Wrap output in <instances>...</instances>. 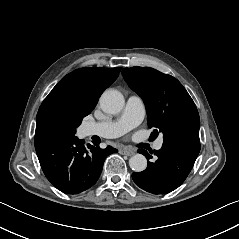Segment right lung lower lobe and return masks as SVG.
<instances>
[{
  "instance_id": "right-lung-lower-lobe-1",
  "label": "right lung lower lobe",
  "mask_w": 239,
  "mask_h": 239,
  "mask_svg": "<svg viewBox=\"0 0 239 239\" xmlns=\"http://www.w3.org/2000/svg\"><path fill=\"white\" fill-rule=\"evenodd\" d=\"M84 146V141L63 129L45 127L35 131V149L46 178L66 194H78L93 186L105 158L117 150Z\"/></svg>"
}]
</instances>
